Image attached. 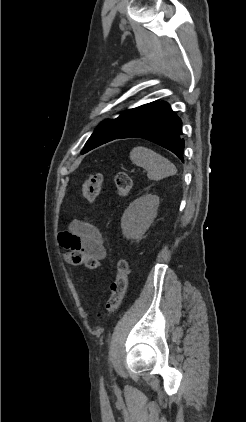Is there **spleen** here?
I'll return each instance as SVG.
<instances>
[{"label": "spleen", "instance_id": "obj_1", "mask_svg": "<svg viewBox=\"0 0 246 422\" xmlns=\"http://www.w3.org/2000/svg\"><path fill=\"white\" fill-rule=\"evenodd\" d=\"M130 159L133 164L147 170L148 178L151 180H161L175 175L177 169L173 163L162 155L146 147L138 146L130 152Z\"/></svg>", "mask_w": 246, "mask_h": 422}]
</instances>
